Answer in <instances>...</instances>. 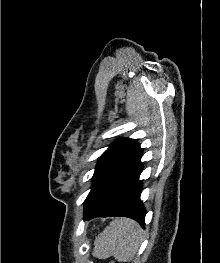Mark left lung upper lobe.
<instances>
[{"label":"left lung upper lobe","instance_id":"5c2ea615","mask_svg":"<svg viewBox=\"0 0 220 263\" xmlns=\"http://www.w3.org/2000/svg\"><path fill=\"white\" fill-rule=\"evenodd\" d=\"M142 149L134 139H120L114 142L99 158L93 175L92 189L84 208H91L140 160Z\"/></svg>","mask_w":220,"mask_h":263}]
</instances>
